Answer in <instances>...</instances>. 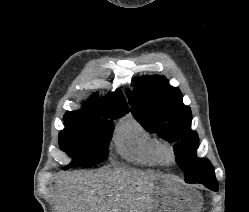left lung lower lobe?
Instances as JSON below:
<instances>
[{
	"label": "left lung lower lobe",
	"instance_id": "0a47b994",
	"mask_svg": "<svg viewBox=\"0 0 249 212\" xmlns=\"http://www.w3.org/2000/svg\"><path fill=\"white\" fill-rule=\"evenodd\" d=\"M187 182V181H185ZM189 183V182H187ZM204 186H206L207 188H209L210 190L213 191H218V182L217 180L211 181V182H204L202 183Z\"/></svg>",
	"mask_w": 249,
	"mask_h": 212
}]
</instances>
